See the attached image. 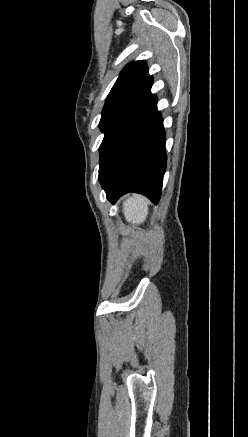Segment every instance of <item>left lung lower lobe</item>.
<instances>
[{
    "label": "left lung lower lobe",
    "mask_w": 248,
    "mask_h": 437,
    "mask_svg": "<svg viewBox=\"0 0 248 437\" xmlns=\"http://www.w3.org/2000/svg\"><path fill=\"white\" fill-rule=\"evenodd\" d=\"M165 140L153 95L117 128L101 155L99 181L112 204L128 192L159 202L167 160Z\"/></svg>",
    "instance_id": "0a47b994"
}]
</instances>
